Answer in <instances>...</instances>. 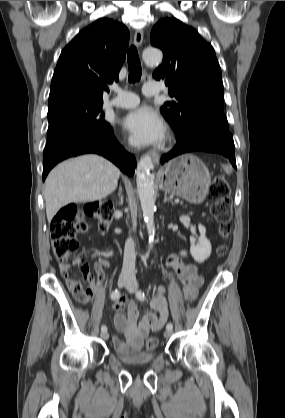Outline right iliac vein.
Masks as SVG:
<instances>
[{
	"label": "right iliac vein",
	"instance_id": "1",
	"mask_svg": "<svg viewBox=\"0 0 285 418\" xmlns=\"http://www.w3.org/2000/svg\"><path fill=\"white\" fill-rule=\"evenodd\" d=\"M129 280H130L129 276L121 275L118 279V286L119 287L124 286ZM101 338L104 340H107L109 338V333L107 331L101 332Z\"/></svg>",
	"mask_w": 285,
	"mask_h": 418
}]
</instances>
